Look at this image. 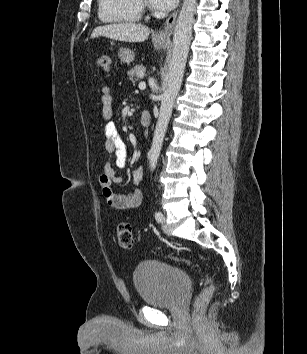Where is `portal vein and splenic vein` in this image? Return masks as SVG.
<instances>
[{"label":"portal vein and splenic vein","mask_w":307,"mask_h":354,"mask_svg":"<svg viewBox=\"0 0 307 354\" xmlns=\"http://www.w3.org/2000/svg\"><path fill=\"white\" fill-rule=\"evenodd\" d=\"M139 89H145L146 88V83L145 82H140L138 85Z\"/></svg>","instance_id":"portal-vein-and-splenic-vein-1"}]
</instances>
